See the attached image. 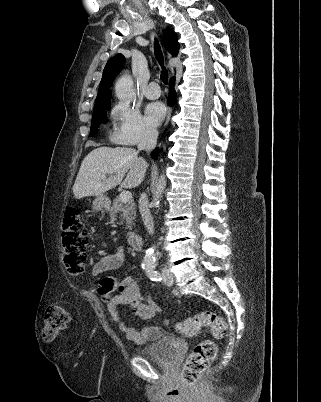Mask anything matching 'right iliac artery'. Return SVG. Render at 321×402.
<instances>
[{
	"label": "right iliac artery",
	"instance_id": "1",
	"mask_svg": "<svg viewBox=\"0 0 321 402\" xmlns=\"http://www.w3.org/2000/svg\"><path fill=\"white\" fill-rule=\"evenodd\" d=\"M148 267H150V265L145 266L144 269H146V268H148Z\"/></svg>",
	"mask_w": 321,
	"mask_h": 402
}]
</instances>
